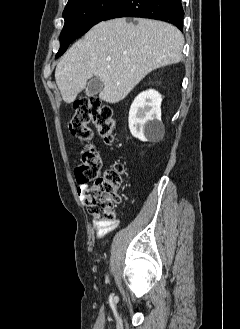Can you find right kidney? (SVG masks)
I'll return each mask as SVG.
<instances>
[{
    "label": "right kidney",
    "instance_id": "right-kidney-1",
    "mask_svg": "<svg viewBox=\"0 0 240 329\" xmlns=\"http://www.w3.org/2000/svg\"><path fill=\"white\" fill-rule=\"evenodd\" d=\"M161 102V95L152 89L134 99L129 111V129L135 138L147 142L164 135Z\"/></svg>",
    "mask_w": 240,
    "mask_h": 329
}]
</instances>
